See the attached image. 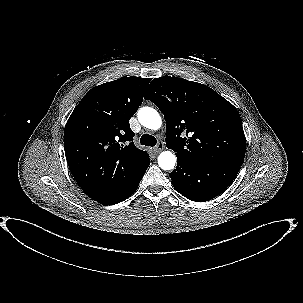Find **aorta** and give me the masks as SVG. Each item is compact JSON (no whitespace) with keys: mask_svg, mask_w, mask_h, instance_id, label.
Listing matches in <instances>:
<instances>
[{"mask_svg":"<svg viewBox=\"0 0 303 303\" xmlns=\"http://www.w3.org/2000/svg\"><path fill=\"white\" fill-rule=\"evenodd\" d=\"M138 120L144 127L158 130L162 125L159 113L151 107H143L138 111ZM176 164V156L170 151H163L158 156V165L163 170H172Z\"/></svg>","mask_w":303,"mask_h":303,"instance_id":"obj_1","label":"aorta"}]
</instances>
